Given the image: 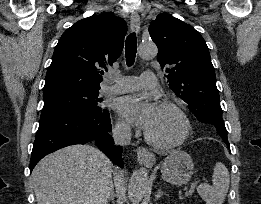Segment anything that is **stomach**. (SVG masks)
Returning a JSON list of instances; mask_svg holds the SVG:
<instances>
[{
	"instance_id": "stomach-1",
	"label": "stomach",
	"mask_w": 261,
	"mask_h": 204,
	"mask_svg": "<svg viewBox=\"0 0 261 204\" xmlns=\"http://www.w3.org/2000/svg\"><path fill=\"white\" fill-rule=\"evenodd\" d=\"M194 164L190 155L184 151H173L161 167L162 178L174 185L186 184L192 177Z\"/></svg>"
}]
</instances>
